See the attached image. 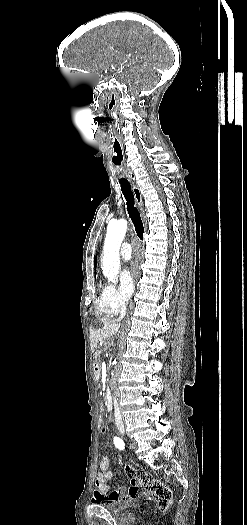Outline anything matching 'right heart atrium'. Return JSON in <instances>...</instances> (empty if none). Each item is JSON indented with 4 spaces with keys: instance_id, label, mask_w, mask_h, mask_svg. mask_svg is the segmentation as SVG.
Returning <instances> with one entry per match:
<instances>
[{
    "instance_id": "obj_1",
    "label": "right heart atrium",
    "mask_w": 247,
    "mask_h": 525,
    "mask_svg": "<svg viewBox=\"0 0 247 525\" xmlns=\"http://www.w3.org/2000/svg\"><path fill=\"white\" fill-rule=\"evenodd\" d=\"M101 301L106 307L114 311H119L124 306V299L120 296L116 285L112 282H108L105 285L102 291Z\"/></svg>"
}]
</instances>
